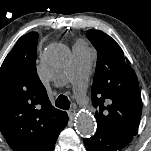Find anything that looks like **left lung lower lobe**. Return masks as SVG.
Listing matches in <instances>:
<instances>
[{
	"label": "left lung lower lobe",
	"mask_w": 151,
	"mask_h": 151,
	"mask_svg": "<svg viewBox=\"0 0 151 151\" xmlns=\"http://www.w3.org/2000/svg\"><path fill=\"white\" fill-rule=\"evenodd\" d=\"M133 137L97 128L94 136L84 140L88 151H121Z\"/></svg>",
	"instance_id": "0a47b994"
}]
</instances>
